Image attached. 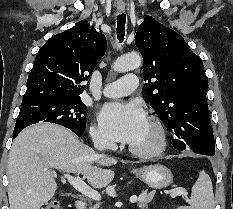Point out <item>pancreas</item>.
Segmentation results:
<instances>
[{"instance_id": "cf45deb5", "label": "pancreas", "mask_w": 233, "mask_h": 209, "mask_svg": "<svg viewBox=\"0 0 233 209\" xmlns=\"http://www.w3.org/2000/svg\"><path fill=\"white\" fill-rule=\"evenodd\" d=\"M154 191L150 192L149 194L142 195L138 200V207L141 209H146L147 204L151 202L154 196ZM100 204H95L93 206H90L89 209H99Z\"/></svg>"}]
</instances>
